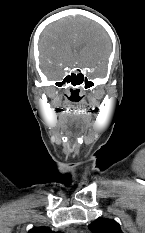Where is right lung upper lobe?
<instances>
[{
  "mask_svg": "<svg viewBox=\"0 0 145 233\" xmlns=\"http://www.w3.org/2000/svg\"><path fill=\"white\" fill-rule=\"evenodd\" d=\"M28 233H61V232H53L47 227H36L31 229Z\"/></svg>",
  "mask_w": 145,
  "mask_h": 233,
  "instance_id": "obj_1",
  "label": "right lung upper lobe"
}]
</instances>
